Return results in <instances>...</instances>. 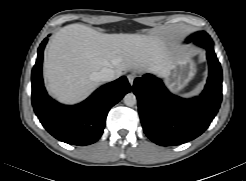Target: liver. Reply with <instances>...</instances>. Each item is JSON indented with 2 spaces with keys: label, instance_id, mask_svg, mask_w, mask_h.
Segmentation results:
<instances>
[{
  "label": "liver",
  "instance_id": "6515ba94",
  "mask_svg": "<svg viewBox=\"0 0 246 181\" xmlns=\"http://www.w3.org/2000/svg\"><path fill=\"white\" fill-rule=\"evenodd\" d=\"M170 51L158 35L103 34L71 24L51 40L44 59V76L49 92L60 102L83 100L99 84L95 73L107 67L116 78L135 69L163 76Z\"/></svg>",
  "mask_w": 246,
  "mask_h": 181
}]
</instances>
